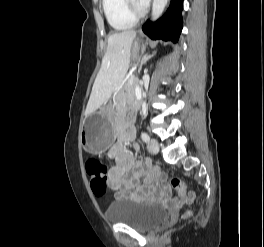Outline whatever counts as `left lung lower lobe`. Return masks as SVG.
Returning <instances> with one entry per match:
<instances>
[{"mask_svg":"<svg viewBox=\"0 0 264 247\" xmlns=\"http://www.w3.org/2000/svg\"><path fill=\"white\" fill-rule=\"evenodd\" d=\"M183 0H171L164 16L155 23L149 20L143 25V32L151 39L178 42L183 27L181 11Z\"/></svg>","mask_w":264,"mask_h":247,"instance_id":"1","label":"left lung lower lobe"}]
</instances>
